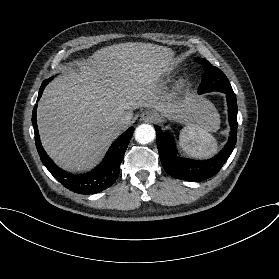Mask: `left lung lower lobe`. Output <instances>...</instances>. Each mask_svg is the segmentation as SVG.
<instances>
[{
	"label": "left lung lower lobe",
	"instance_id": "obj_1",
	"mask_svg": "<svg viewBox=\"0 0 279 279\" xmlns=\"http://www.w3.org/2000/svg\"><path fill=\"white\" fill-rule=\"evenodd\" d=\"M228 117L231 128L224 148L207 160L184 159L177 156L175 143L170 133L155 126L157 148L165 171L174 178L186 181H202L216 175L231 155L237 141V102L234 92H227Z\"/></svg>",
	"mask_w": 279,
	"mask_h": 279
}]
</instances>
